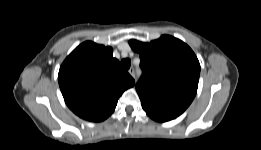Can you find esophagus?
I'll return each mask as SVG.
<instances>
[{"mask_svg": "<svg viewBox=\"0 0 261 150\" xmlns=\"http://www.w3.org/2000/svg\"><path fill=\"white\" fill-rule=\"evenodd\" d=\"M129 74L134 78L135 77V69L133 67H131L129 70H128Z\"/></svg>", "mask_w": 261, "mask_h": 150, "instance_id": "1", "label": "esophagus"}]
</instances>
